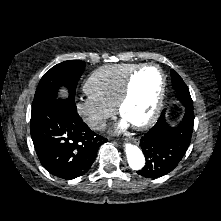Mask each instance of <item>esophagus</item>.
Here are the masks:
<instances>
[{"label": "esophagus", "instance_id": "obj_1", "mask_svg": "<svg viewBox=\"0 0 221 221\" xmlns=\"http://www.w3.org/2000/svg\"><path fill=\"white\" fill-rule=\"evenodd\" d=\"M129 141H131L132 143L138 145L140 143V140L138 138H135V137H130L128 139Z\"/></svg>", "mask_w": 221, "mask_h": 221}]
</instances>
